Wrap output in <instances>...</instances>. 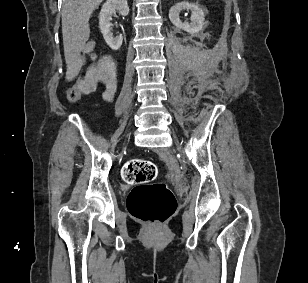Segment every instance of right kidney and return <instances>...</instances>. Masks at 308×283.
<instances>
[{
    "mask_svg": "<svg viewBox=\"0 0 308 283\" xmlns=\"http://www.w3.org/2000/svg\"><path fill=\"white\" fill-rule=\"evenodd\" d=\"M116 11L122 16H127L129 14L127 0H107L99 14V28L105 42L112 50H118L123 42L122 35L114 37L111 32L113 24L110 21L112 16L116 15Z\"/></svg>",
    "mask_w": 308,
    "mask_h": 283,
    "instance_id": "obj_1",
    "label": "right kidney"
}]
</instances>
